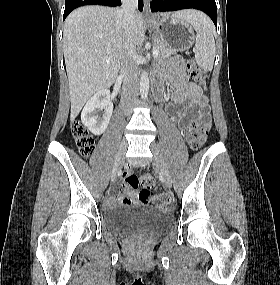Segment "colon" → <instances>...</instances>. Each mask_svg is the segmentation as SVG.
<instances>
[{"label":"colon","mask_w":280,"mask_h":285,"mask_svg":"<svg viewBox=\"0 0 280 285\" xmlns=\"http://www.w3.org/2000/svg\"><path fill=\"white\" fill-rule=\"evenodd\" d=\"M185 66L191 76V78L198 84L204 85L206 82V76L204 72L198 68L192 59L185 61ZM208 121H192L187 128V141L192 149H199L206 141L208 129ZM72 135L75 143L84 156L92 154L94 151V138L89 133L87 128L81 122H74L71 127ZM123 179L125 182L133 187L140 185L146 192H149L155 185L153 178L149 174H143L140 178L131 172L125 171L123 173ZM153 201L156 205H166L169 202V197L164 194H157L154 196Z\"/></svg>","instance_id":"1"}]
</instances>
